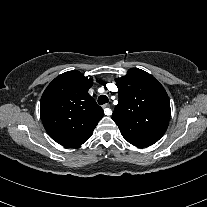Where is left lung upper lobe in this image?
Returning <instances> with one entry per match:
<instances>
[{"label":"left lung upper lobe","mask_w":207,"mask_h":207,"mask_svg":"<svg viewBox=\"0 0 207 207\" xmlns=\"http://www.w3.org/2000/svg\"><path fill=\"white\" fill-rule=\"evenodd\" d=\"M119 103L112 119L123 137L135 146H150L165 133L171 114L163 86L149 73L131 68L117 78Z\"/></svg>","instance_id":"left-lung-upper-lobe-1"}]
</instances>
